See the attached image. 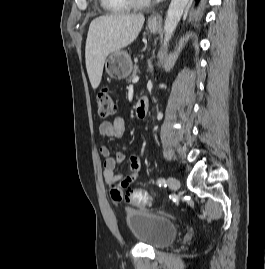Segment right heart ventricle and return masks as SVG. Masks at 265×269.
Returning a JSON list of instances; mask_svg holds the SVG:
<instances>
[{
    "instance_id": "obj_1",
    "label": "right heart ventricle",
    "mask_w": 265,
    "mask_h": 269,
    "mask_svg": "<svg viewBox=\"0 0 265 269\" xmlns=\"http://www.w3.org/2000/svg\"><path fill=\"white\" fill-rule=\"evenodd\" d=\"M100 3L110 13L126 12L131 8L126 0H100Z\"/></svg>"
}]
</instances>
